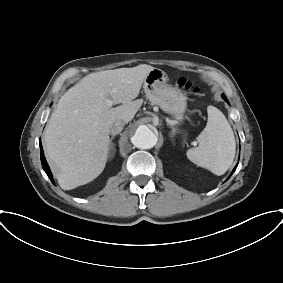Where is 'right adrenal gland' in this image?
<instances>
[{
    "instance_id": "2a0ac1e0",
    "label": "right adrenal gland",
    "mask_w": 283,
    "mask_h": 283,
    "mask_svg": "<svg viewBox=\"0 0 283 283\" xmlns=\"http://www.w3.org/2000/svg\"><path fill=\"white\" fill-rule=\"evenodd\" d=\"M114 139V136L110 138V143H109V156H113L115 153V145L113 144L112 140Z\"/></svg>"
}]
</instances>
